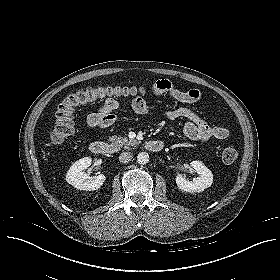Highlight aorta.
Returning a JSON list of instances; mask_svg holds the SVG:
<instances>
[{"label": "aorta", "instance_id": "762f6f07", "mask_svg": "<svg viewBox=\"0 0 280 280\" xmlns=\"http://www.w3.org/2000/svg\"><path fill=\"white\" fill-rule=\"evenodd\" d=\"M148 161H149V155H148V153H146V152H140V153L137 155V162H138L139 164L144 165V164L148 163Z\"/></svg>", "mask_w": 280, "mask_h": 280}]
</instances>
